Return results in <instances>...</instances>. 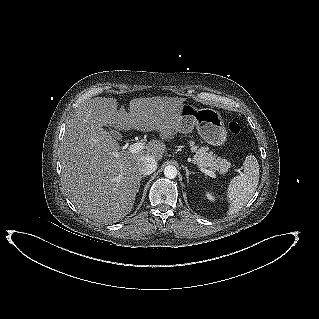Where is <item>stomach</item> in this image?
<instances>
[{
    "instance_id": "1",
    "label": "stomach",
    "mask_w": 319,
    "mask_h": 319,
    "mask_svg": "<svg viewBox=\"0 0 319 319\" xmlns=\"http://www.w3.org/2000/svg\"><path fill=\"white\" fill-rule=\"evenodd\" d=\"M194 127L208 144L219 146L227 140L226 127L218 111L183 103L179 111L178 132L188 134Z\"/></svg>"
}]
</instances>
